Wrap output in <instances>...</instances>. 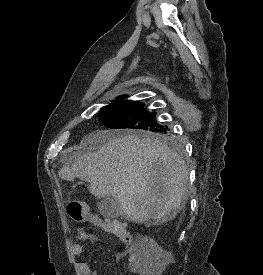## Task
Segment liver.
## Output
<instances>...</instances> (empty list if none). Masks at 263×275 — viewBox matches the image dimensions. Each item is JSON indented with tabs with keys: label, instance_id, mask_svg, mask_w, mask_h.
<instances>
[{
	"label": "liver",
	"instance_id": "obj_1",
	"mask_svg": "<svg viewBox=\"0 0 263 275\" xmlns=\"http://www.w3.org/2000/svg\"><path fill=\"white\" fill-rule=\"evenodd\" d=\"M81 154L58 175L90 183L97 197H114L126 218L157 224L174 219L187 199L186 162L166 144L150 136L101 130L81 142Z\"/></svg>",
	"mask_w": 263,
	"mask_h": 275
}]
</instances>
